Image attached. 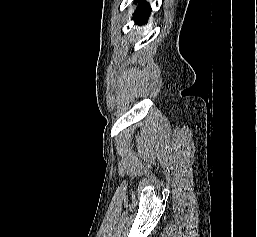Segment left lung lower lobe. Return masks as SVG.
Wrapping results in <instances>:
<instances>
[{
	"instance_id": "left-lung-lower-lobe-1",
	"label": "left lung lower lobe",
	"mask_w": 257,
	"mask_h": 237,
	"mask_svg": "<svg viewBox=\"0 0 257 237\" xmlns=\"http://www.w3.org/2000/svg\"><path fill=\"white\" fill-rule=\"evenodd\" d=\"M151 13V8L146 1H142L140 6L137 8L136 12L133 15V19L136 24H145L147 22V18Z\"/></svg>"
}]
</instances>
